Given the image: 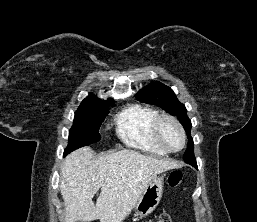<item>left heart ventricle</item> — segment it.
Here are the masks:
<instances>
[{
    "label": "left heart ventricle",
    "mask_w": 257,
    "mask_h": 222,
    "mask_svg": "<svg viewBox=\"0 0 257 222\" xmlns=\"http://www.w3.org/2000/svg\"><path fill=\"white\" fill-rule=\"evenodd\" d=\"M164 143L172 150H177L182 146V136L179 129L171 122L165 121L160 129Z\"/></svg>",
    "instance_id": "left-heart-ventricle-1"
}]
</instances>
